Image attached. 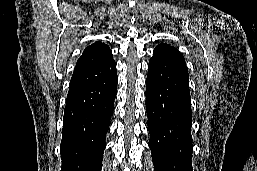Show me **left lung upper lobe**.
Listing matches in <instances>:
<instances>
[{"instance_id":"5c2ea615","label":"left lung upper lobe","mask_w":257,"mask_h":171,"mask_svg":"<svg viewBox=\"0 0 257 171\" xmlns=\"http://www.w3.org/2000/svg\"><path fill=\"white\" fill-rule=\"evenodd\" d=\"M158 46H167L166 44H159Z\"/></svg>"}]
</instances>
